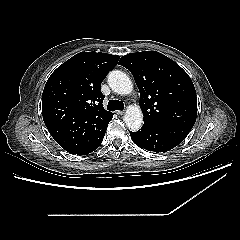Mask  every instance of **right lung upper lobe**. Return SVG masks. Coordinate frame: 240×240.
Returning <instances> with one entry per match:
<instances>
[{
    "label": "right lung upper lobe",
    "instance_id": "1",
    "mask_svg": "<svg viewBox=\"0 0 240 240\" xmlns=\"http://www.w3.org/2000/svg\"><path fill=\"white\" fill-rule=\"evenodd\" d=\"M119 56L80 52L49 77L42 94L44 123L66 151L80 154L106 132L113 113L103 108L101 83Z\"/></svg>",
    "mask_w": 240,
    "mask_h": 240
}]
</instances>
